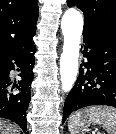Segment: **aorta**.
Here are the masks:
<instances>
[{"mask_svg": "<svg viewBox=\"0 0 116 134\" xmlns=\"http://www.w3.org/2000/svg\"><path fill=\"white\" fill-rule=\"evenodd\" d=\"M64 36L63 52L60 58L62 90L69 92L77 78L80 39L83 30V17L77 10L68 9L61 20Z\"/></svg>", "mask_w": 116, "mask_h": 134, "instance_id": "obj_1", "label": "aorta"}]
</instances>
